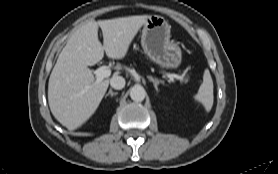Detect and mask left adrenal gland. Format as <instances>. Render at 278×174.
Segmentation results:
<instances>
[{"label": "left adrenal gland", "mask_w": 278, "mask_h": 174, "mask_svg": "<svg viewBox=\"0 0 278 174\" xmlns=\"http://www.w3.org/2000/svg\"><path fill=\"white\" fill-rule=\"evenodd\" d=\"M148 79L153 82L155 90L158 91V85L163 82L161 80L153 78L152 76H148Z\"/></svg>", "instance_id": "obj_1"}]
</instances>
